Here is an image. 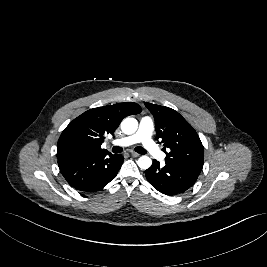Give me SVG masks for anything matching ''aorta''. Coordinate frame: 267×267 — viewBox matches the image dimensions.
Returning a JSON list of instances; mask_svg holds the SVG:
<instances>
[{"instance_id": "aorta-1", "label": "aorta", "mask_w": 267, "mask_h": 267, "mask_svg": "<svg viewBox=\"0 0 267 267\" xmlns=\"http://www.w3.org/2000/svg\"><path fill=\"white\" fill-rule=\"evenodd\" d=\"M137 128L138 122L135 118L127 117L121 122V130L127 135L135 133ZM137 164L141 169H148L152 165V160L148 156H141Z\"/></svg>"}]
</instances>
